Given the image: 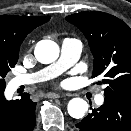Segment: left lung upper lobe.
<instances>
[{
    "mask_svg": "<svg viewBox=\"0 0 131 131\" xmlns=\"http://www.w3.org/2000/svg\"><path fill=\"white\" fill-rule=\"evenodd\" d=\"M88 40L94 57L92 78L103 76L105 97L131 104V29L104 12H80L66 17Z\"/></svg>",
    "mask_w": 131,
    "mask_h": 131,
    "instance_id": "left-lung-upper-lobe-1",
    "label": "left lung upper lobe"
}]
</instances>
